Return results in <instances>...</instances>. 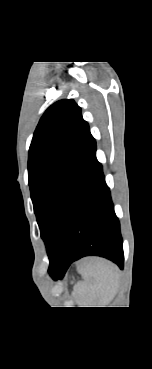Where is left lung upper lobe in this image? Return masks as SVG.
Returning a JSON list of instances; mask_svg holds the SVG:
<instances>
[{
  "label": "left lung upper lobe",
  "mask_w": 152,
  "mask_h": 369,
  "mask_svg": "<svg viewBox=\"0 0 152 369\" xmlns=\"http://www.w3.org/2000/svg\"><path fill=\"white\" fill-rule=\"evenodd\" d=\"M95 144L81 108L72 99L51 105L34 132L28 159L29 186L50 262L59 252Z\"/></svg>",
  "instance_id": "obj_1"
}]
</instances>
